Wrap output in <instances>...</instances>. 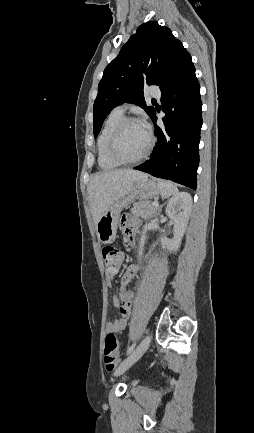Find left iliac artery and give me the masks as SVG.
<instances>
[{"label":"left iliac artery","instance_id":"1","mask_svg":"<svg viewBox=\"0 0 254 433\" xmlns=\"http://www.w3.org/2000/svg\"><path fill=\"white\" fill-rule=\"evenodd\" d=\"M135 346H136V343H133V344L128 348V350H127V354H130V353L134 350Z\"/></svg>","mask_w":254,"mask_h":433}]
</instances>
